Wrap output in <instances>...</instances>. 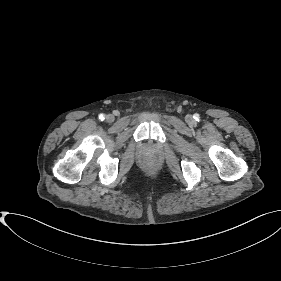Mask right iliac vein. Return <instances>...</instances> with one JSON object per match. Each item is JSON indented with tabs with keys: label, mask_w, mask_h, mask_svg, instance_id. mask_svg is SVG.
Here are the masks:
<instances>
[{
	"label": "right iliac vein",
	"mask_w": 281,
	"mask_h": 281,
	"mask_svg": "<svg viewBox=\"0 0 281 281\" xmlns=\"http://www.w3.org/2000/svg\"><path fill=\"white\" fill-rule=\"evenodd\" d=\"M106 120H107V122L111 123V122L114 121V116H113L112 114H108V115L106 116Z\"/></svg>",
	"instance_id": "right-iliac-vein-1"
}]
</instances>
